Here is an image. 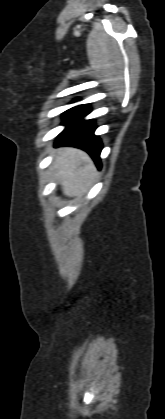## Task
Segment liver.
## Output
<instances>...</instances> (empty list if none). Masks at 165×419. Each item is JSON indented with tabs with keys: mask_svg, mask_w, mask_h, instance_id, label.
Instances as JSON below:
<instances>
[{
	"mask_svg": "<svg viewBox=\"0 0 165 419\" xmlns=\"http://www.w3.org/2000/svg\"><path fill=\"white\" fill-rule=\"evenodd\" d=\"M53 166L66 196L82 197L92 186L97 170L87 153L75 148H59Z\"/></svg>",
	"mask_w": 165,
	"mask_h": 419,
	"instance_id": "1",
	"label": "liver"
}]
</instances>
